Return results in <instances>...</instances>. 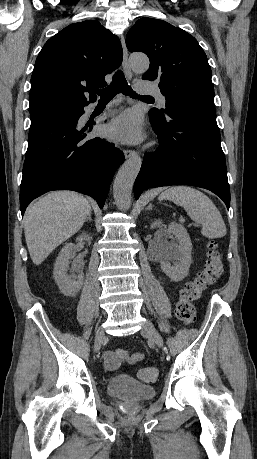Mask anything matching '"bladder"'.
<instances>
[{"label":"bladder","mask_w":257,"mask_h":459,"mask_svg":"<svg viewBox=\"0 0 257 459\" xmlns=\"http://www.w3.org/2000/svg\"><path fill=\"white\" fill-rule=\"evenodd\" d=\"M106 390L109 396L133 403L151 399L156 395L155 387L143 384L126 375L112 377Z\"/></svg>","instance_id":"obj_1"}]
</instances>
